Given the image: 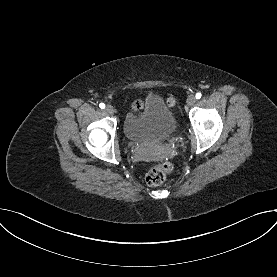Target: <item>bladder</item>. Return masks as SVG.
Here are the masks:
<instances>
[{
	"instance_id": "1",
	"label": "bladder",
	"mask_w": 277,
	"mask_h": 277,
	"mask_svg": "<svg viewBox=\"0 0 277 277\" xmlns=\"http://www.w3.org/2000/svg\"><path fill=\"white\" fill-rule=\"evenodd\" d=\"M177 128V119L172 108L155 94L148 95L142 106L127 113L123 130L132 142H153L172 135Z\"/></svg>"
}]
</instances>
